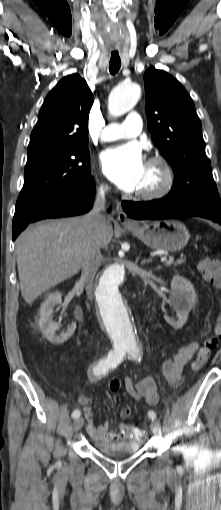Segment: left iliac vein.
<instances>
[{
	"label": "left iliac vein",
	"mask_w": 221,
	"mask_h": 510,
	"mask_svg": "<svg viewBox=\"0 0 221 510\" xmlns=\"http://www.w3.org/2000/svg\"><path fill=\"white\" fill-rule=\"evenodd\" d=\"M151 431L154 435L159 436L161 433L160 422L158 420H153L150 425Z\"/></svg>",
	"instance_id": "4c4485c4"
}]
</instances>
